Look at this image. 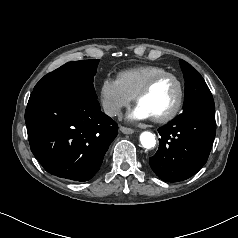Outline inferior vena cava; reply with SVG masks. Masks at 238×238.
<instances>
[{
    "mask_svg": "<svg viewBox=\"0 0 238 238\" xmlns=\"http://www.w3.org/2000/svg\"><path fill=\"white\" fill-rule=\"evenodd\" d=\"M103 109L108 116H116L120 113V106L112 102H104Z\"/></svg>",
    "mask_w": 238,
    "mask_h": 238,
    "instance_id": "1",
    "label": "inferior vena cava"
}]
</instances>
